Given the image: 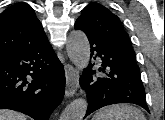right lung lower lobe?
I'll return each mask as SVG.
<instances>
[{
	"mask_svg": "<svg viewBox=\"0 0 165 120\" xmlns=\"http://www.w3.org/2000/svg\"><path fill=\"white\" fill-rule=\"evenodd\" d=\"M64 92V68L47 38L0 55V109L48 120Z\"/></svg>",
	"mask_w": 165,
	"mask_h": 120,
	"instance_id": "obj_1",
	"label": "right lung lower lobe"
}]
</instances>
